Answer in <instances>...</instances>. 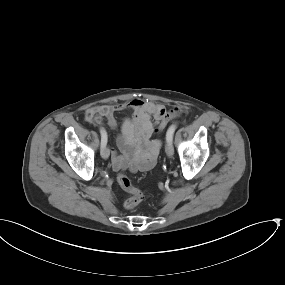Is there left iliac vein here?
<instances>
[{
	"label": "left iliac vein",
	"instance_id": "1",
	"mask_svg": "<svg viewBox=\"0 0 285 285\" xmlns=\"http://www.w3.org/2000/svg\"><path fill=\"white\" fill-rule=\"evenodd\" d=\"M165 152L168 157H172L174 154V148L171 141H167L165 145Z\"/></svg>",
	"mask_w": 285,
	"mask_h": 285
}]
</instances>
